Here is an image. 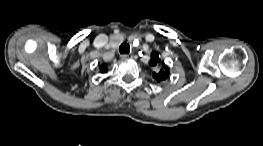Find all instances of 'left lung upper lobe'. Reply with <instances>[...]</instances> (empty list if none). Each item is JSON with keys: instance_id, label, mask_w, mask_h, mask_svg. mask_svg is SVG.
<instances>
[{"instance_id": "5c2ea615", "label": "left lung upper lobe", "mask_w": 263, "mask_h": 146, "mask_svg": "<svg viewBox=\"0 0 263 146\" xmlns=\"http://www.w3.org/2000/svg\"><path fill=\"white\" fill-rule=\"evenodd\" d=\"M160 58L159 55L156 53L152 56L149 64L152 67H155L156 65L160 66ZM169 76V69L166 67V65L163 63V68H161L159 71L157 72H153V77L157 82H161L165 79H167Z\"/></svg>"}]
</instances>
